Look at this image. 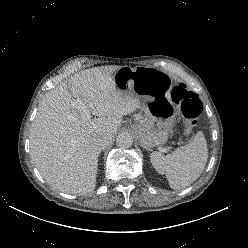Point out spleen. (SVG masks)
<instances>
[{
  "mask_svg": "<svg viewBox=\"0 0 248 248\" xmlns=\"http://www.w3.org/2000/svg\"><path fill=\"white\" fill-rule=\"evenodd\" d=\"M208 159L207 143L199 131L188 145L177 148L170 154L153 152L150 160L159 174H165L173 189H182L199 178Z\"/></svg>",
  "mask_w": 248,
  "mask_h": 248,
  "instance_id": "1",
  "label": "spleen"
}]
</instances>
